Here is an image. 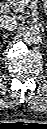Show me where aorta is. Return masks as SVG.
Returning a JSON list of instances; mask_svg holds the SVG:
<instances>
[{
  "label": "aorta",
  "mask_w": 47,
  "mask_h": 129,
  "mask_svg": "<svg viewBox=\"0 0 47 129\" xmlns=\"http://www.w3.org/2000/svg\"><path fill=\"white\" fill-rule=\"evenodd\" d=\"M22 37L28 45H36L42 40V32L37 26H27L22 31Z\"/></svg>",
  "instance_id": "1"
}]
</instances>
